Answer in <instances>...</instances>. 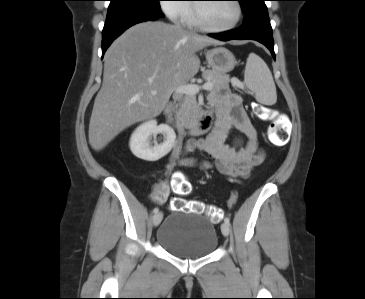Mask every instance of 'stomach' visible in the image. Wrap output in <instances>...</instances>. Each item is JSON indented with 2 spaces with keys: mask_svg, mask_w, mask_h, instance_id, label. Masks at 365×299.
<instances>
[{
  "mask_svg": "<svg viewBox=\"0 0 365 299\" xmlns=\"http://www.w3.org/2000/svg\"><path fill=\"white\" fill-rule=\"evenodd\" d=\"M206 60L212 70L223 74L232 71L236 65L233 53L224 47L206 51Z\"/></svg>",
  "mask_w": 365,
  "mask_h": 299,
  "instance_id": "stomach-1",
  "label": "stomach"
}]
</instances>
